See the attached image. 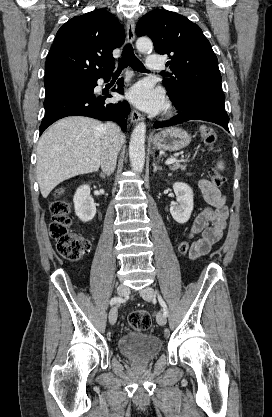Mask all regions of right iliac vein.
Listing matches in <instances>:
<instances>
[{
	"mask_svg": "<svg viewBox=\"0 0 272 417\" xmlns=\"http://www.w3.org/2000/svg\"><path fill=\"white\" fill-rule=\"evenodd\" d=\"M129 288L126 285H119L117 288V293L119 297H126L129 295ZM118 309L117 306H113L109 312V322L113 325L117 321Z\"/></svg>",
	"mask_w": 272,
	"mask_h": 417,
	"instance_id": "obj_1",
	"label": "right iliac vein"
}]
</instances>
